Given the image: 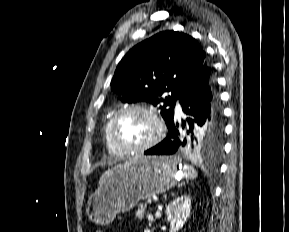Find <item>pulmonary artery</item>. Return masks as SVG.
I'll use <instances>...</instances> for the list:
<instances>
[{"mask_svg":"<svg viewBox=\"0 0 289 232\" xmlns=\"http://www.w3.org/2000/svg\"><path fill=\"white\" fill-rule=\"evenodd\" d=\"M176 111H177L178 114H181V112H182L181 106H180L179 103L176 105Z\"/></svg>","mask_w":289,"mask_h":232,"instance_id":"obj_1","label":"pulmonary artery"}]
</instances>
